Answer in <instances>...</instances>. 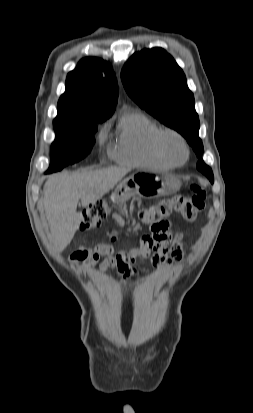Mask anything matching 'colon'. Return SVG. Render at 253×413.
Listing matches in <instances>:
<instances>
[{
    "instance_id": "obj_1",
    "label": "colon",
    "mask_w": 253,
    "mask_h": 413,
    "mask_svg": "<svg viewBox=\"0 0 253 413\" xmlns=\"http://www.w3.org/2000/svg\"><path fill=\"white\" fill-rule=\"evenodd\" d=\"M191 196H177L164 199L157 204L139 211V219L150 224L152 228L160 227L173 214H179L188 221H193L202 213L205 208L207 195L206 191L199 185H192ZM110 212V207L105 201H98L84 210L80 228L89 230L99 225Z\"/></svg>"
}]
</instances>
